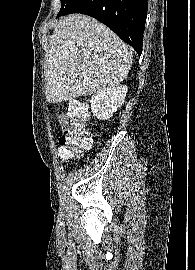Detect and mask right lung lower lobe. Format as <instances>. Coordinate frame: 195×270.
I'll return each instance as SVG.
<instances>
[{"label":"right lung lower lobe","instance_id":"obj_1","mask_svg":"<svg viewBox=\"0 0 195 270\" xmlns=\"http://www.w3.org/2000/svg\"><path fill=\"white\" fill-rule=\"evenodd\" d=\"M147 6V0H76L57 18L72 13L89 15L107 25L140 56Z\"/></svg>","mask_w":195,"mask_h":270}]
</instances>
